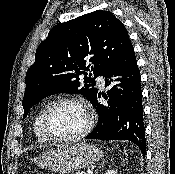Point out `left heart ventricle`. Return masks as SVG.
Returning a JSON list of instances; mask_svg holds the SVG:
<instances>
[{
  "instance_id": "1",
  "label": "left heart ventricle",
  "mask_w": 175,
  "mask_h": 174,
  "mask_svg": "<svg viewBox=\"0 0 175 174\" xmlns=\"http://www.w3.org/2000/svg\"><path fill=\"white\" fill-rule=\"evenodd\" d=\"M85 125L86 116L83 109L73 103L59 105L49 117V128L59 137L75 135L83 130Z\"/></svg>"
}]
</instances>
